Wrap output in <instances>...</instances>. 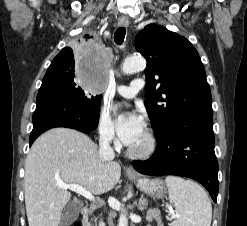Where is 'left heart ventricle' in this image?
Wrapping results in <instances>:
<instances>
[{
  "label": "left heart ventricle",
  "mask_w": 247,
  "mask_h": 226,
  "mask_svg": "<svg viewBox=\"0 0 247 226\" xmlns=\"http://www.w3.org/2000/svg\"><path fill=\"white\" fill-rule=\"evenodd\" d=\"M147 143V137H146V132L142 134V136L133 144H131L129 147L134 149V150H141L146 146Z\"/></svg>",
  "instance_id": "obj_1"
}]
</instances>
